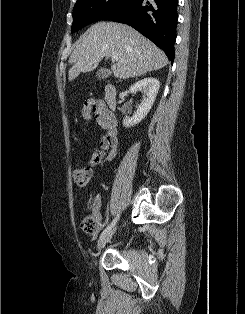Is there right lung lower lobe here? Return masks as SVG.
I'll list each match as a JSON object with an SVG mask.
<instances>
[{"label": "right lung lower lobe", "mask_w": 245, "mask_h": 314, "mask_svg": "<svg viewBox=\"0 0 245 314\" xmlns=\"http://www.w3.org/2000/svg\"><path fill=\"white\" fill-rule=\"evenodd\" d=\"M178 0H130L103 19L132 26L157 46L173 62Z\"/></svg>", "instance_id": "1"}]
</instances>
